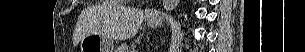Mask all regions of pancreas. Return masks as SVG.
<instances>
[{
    "label": "pancreas",
    "mask_w": 305,
    "mask_h": 52,
    "mask_svg": "<svg viewBox=\"0 0 305 52\" xmlns=\"http://www.w3.org/2000/svg\"><path fill=\"white\" fill-rule=\"evenodd\" d=\"M118 52H128V47L123 46L118 49Z\"/></svg>",
    "instance_id": "cf45deb5"
}]
</instances>
